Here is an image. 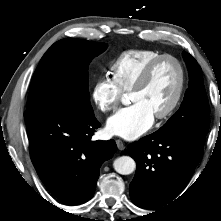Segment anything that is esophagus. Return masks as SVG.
<instances>
[{"mask_svg": "<svg viewBox=\"0 0 221 221\" xmlns=\"http://www.w3.org/2000/svg\"><path fill=\"white\" fill-rule=\"evenodd\" d=\"M116 144H117V147H118L119 150H124L125 149V144L123 143L122 140L117 139Z\"/></svg>", "mask_w": 221, "mask_h": 221, "instance_id": "esophagus-1", "label": "esophagus"}]
</instances>
